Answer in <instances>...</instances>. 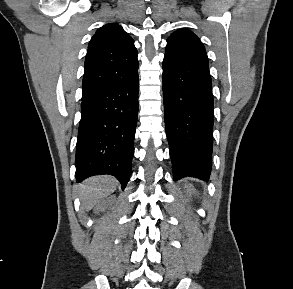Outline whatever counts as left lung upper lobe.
Here are the masks:
<instances>
[{"label": "left lung upper lobe", "instance_id": "obj_1", "mask_svg": "<svg viewBox=\"0 0 293 289\" xmlns=\"http://www.w3.org/2000/svg\"><path fill=\"white\" fill-rule=\"evenodd\" d=\"M165 57L197 66H208V57L203 44L187 29L178 30L170 35L167 39Z\"/></svg>", "mask_w": 293, "mask_h": 289}]
</instances>
